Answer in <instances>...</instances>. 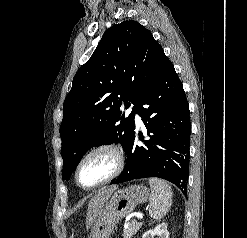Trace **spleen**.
<instances>
[{
  "mask_svg": "<svg viewBox=\"0 0 247 238\" xmlns=\"http://www.w3.org/2000/svg\"><path fill=\"white\" fill-rule=\"evenodd\" d=\"M151 194L149 196V215L156 220L161 219L169 211L172 204L170 185L159 178H150Z\"/></svg>",
  "mask_w": 247,
  "mask_h": 238,
  "instance_id": "spleen-1",
  "label": "spleen"
}]
</instances>
